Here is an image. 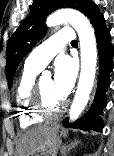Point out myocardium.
I'll use <instances>...</instances> for the list:
<instances>
[{"label":"myocardium","instance_id":"obj_1","mask_svg":"<svg viewBox=\"0 0 114 156\" xmlns=\"http://www.w3.org/2000/svg\"><path fill=\"white\" fill-rule=\"evenodd\" d=\"M32 106L43 117H56L63 113L66 103L62 100L56 107H50L41 88L40 81H37L33 88Z\"/></svg>","mask_w":114,"mask_h":156}]
</instances>
